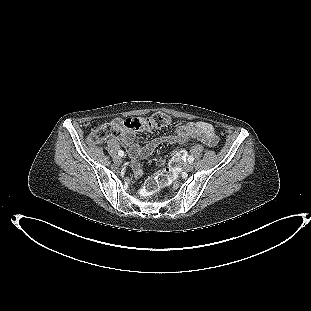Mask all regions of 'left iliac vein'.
<instances>
[{
  "label": "left iliac vein",
  "instance_id": "left-iliac-vein-1",
  "mask_svg": "<svg viewBox=\"0 0 311 311\" xmlns=\"http://www.w3.org/2000/svg\"><path fill=\"white\" fill-rule=\"evenodd\" d=\"M192 170H193V164L188 163V164H186V165L184 166V171L190 172V171H192Z\"/></svg>",
  "mask_w": 311,
  "mask_h": 311
}]
</instances>
